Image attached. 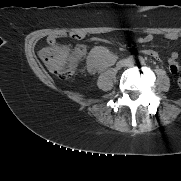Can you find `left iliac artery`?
Masks as SVG:
<instances>
[{
    "mask_svg": "<svg viewBox=\"0 0 181 181\" xmlns=\"http://www.w3.org/2000/svg\"><path fill=\"white\" fill-rule=\"evenodd\" d=\"M139 62H140L141 65H144V64H145V61H144L143 58H140Z\"/></svg>",
    "mask_w": 181,
    "mask_h": 181,
    "instance_id": "left-iliac-artery-1",
    "label": "left iliac artery"
}]
</instances>
